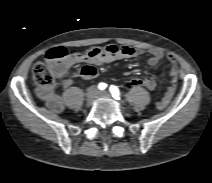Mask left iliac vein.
Listing matches in <instances>:
<instances>
[{
  "label": "left iliac vein",
  "instance_id": "4c4485c4",
  "mask_svg": "<svg viewBox=\"0 0 212 183\" xmlns=\"http://www.w3.org/2000/svg\"><path fill=\"white\" fill-rule=\"evenodd\" d=\"M100 96L108 97V96H109V94H108L107 92H101V93H100Z\"/></svg>",
  "mask_w": 212,
  "mask_h": 183
}]
</instances>
